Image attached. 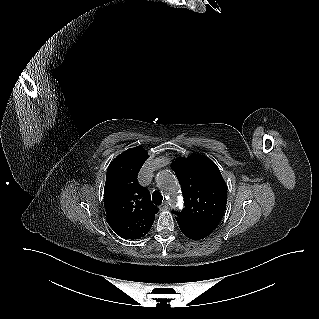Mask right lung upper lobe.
Returning a JSON list of instances; mask_svg holds the SVG:
<instances>
[{
	"label": "right lung upper lobe",
	"mask_w": 319,
	"mask_h": 319,
	"mask_svg": "<svg viewBox=\"0 0 319 319\" xmlns=\"http://www.w3.org/2000/svg\"><path fill=\"white\" fill-rule=\"evenodd\" d=\"M149 157L144 148L134 147L118 155L109 165L104 188V206L112 228L123 238L139 239L147 234L158 208L137 175Z\"/></svg>",
	"instance_id": "right-lung-upper-lobe-1"
}]
</instances>
